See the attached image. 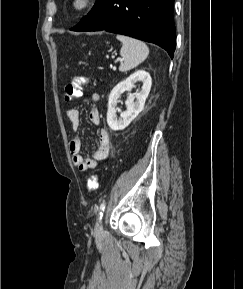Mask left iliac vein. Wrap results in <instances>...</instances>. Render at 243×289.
<instances>
[{"instance_id": "4c4485c4", "label": "left iliac vein", "mask_w": 243, "mask_h": 289, "mask_svg": "<svg viewBox=\"0 0 243 289\" xmlns=\"http://www.w3.org/2000/svg\"><path fill=\"white\" fill-rule=\"evenodd\" d=\"M102 231H103V225H102V222L100 220V221H98V223L96 225L95 233L100 234V233H102Z\"/></svg>"}]
</instances>
